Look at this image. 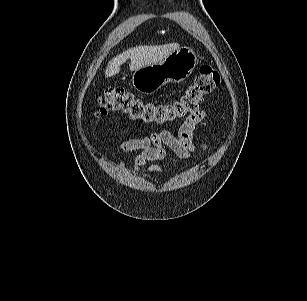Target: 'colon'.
I'll return each instance as SVG.
<instances>
[{
	"mask_svg": "<svg viewBox=\"0 0 307 301\" xmlns=\"http://www.w3.org/2000/svg\"><path fill=\"white\" fill-rule=\"evenodd\" d=\"M219 83V73L205 64L194 81L171 102L143 100L123 89H111L100 97L99 113L116 111L145 124H172L194 115Z\"/></svg>",
	"mask_w": 307,
	"mask_h": 301,
	"instance_id": "5ec220e1",
	"label": "colon"
}]
</instances>
